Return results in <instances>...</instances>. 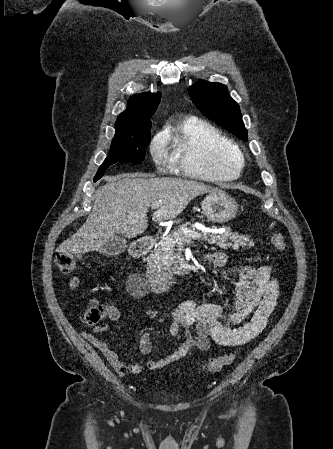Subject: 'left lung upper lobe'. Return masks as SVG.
<instances>
[{
	"instance_id": "obj_1",
	"label": "left lung upper lobe",
	"mask_w": 333,
	"mask_h": 449,
	"mask_svg": "<svg viewBox=\"0 0 333 449\" xmlns=\"http://www.w3.org/2000/svg\"><path fill=\"white\" fill-rule=\"evenodd\" d=\"M189 95L207 118L216 121L238 138L247 140L239 105L230 97L225 85L200 81L189 88Z\"/></svg>"
}]
</instances>
